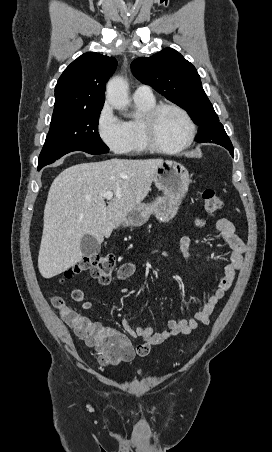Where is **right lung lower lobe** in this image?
I'll use <instances>...</instances> for the list:
<instances>
[{
	"instance_id": "obj_1",
	"label": "right lung lower lobe",
	"mask_w": 272,
	"mask_h": 452,
	"mask_svg": "<svg viewBox=\"0 0 272 452\" xmlns=\"http://www.w3.org/2000/svg\"><path fill=\"white\" fill-rule=\"evenodd\" d=\"M56 160H52V161H48V162H45V163H40V164H38V171L42 168V167H44V166H46V165H48V164H51V163H53V162H55Z\"/></svg>"
}]
</instances>
